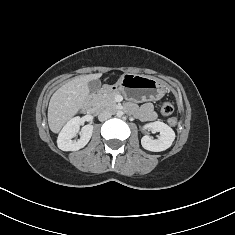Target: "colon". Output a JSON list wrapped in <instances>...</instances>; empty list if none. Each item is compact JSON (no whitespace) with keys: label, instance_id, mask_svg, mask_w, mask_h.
Listing matches in <instances>:
<instances>
[{"label":"colon","instance_id":"1","mask_svg":"<svg viewBox=\"0 0 235 235\" xmlns=\"http://www.w3.org/2000/svg\"><path fill=\"white\" fill-rule=\"evenodd\" d=\"M161 114L164 115V116H170L173 111H174V107L173 105L170 103V102H164L162 105H161ZM177 123V119L176 118H171L170 119V124L171 125H175Z\"/></svg>","mask_w":235,"mask_h":235}]
</instances>
